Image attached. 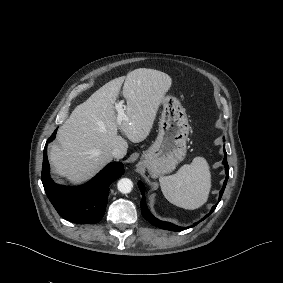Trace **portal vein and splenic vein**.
<instances>
[{"label": "portal vein and splenic vein", "instance_id": "18ae733b", "mask_svg": "<svg viewBox=\"0 0 283 283\" xmlns=\"http://www.w3.org/2000/svg\"><path fill=\"white\" fill-rule=\"evenodd\" d=\"M114 107L117 112V118H116V125L120 127L124 121L128 120L127 115L124 113L125 108L122 106V102H117L114 104Z\"/></svg>", "mask_w": 283, "mask_h": 283}]
</instances>
